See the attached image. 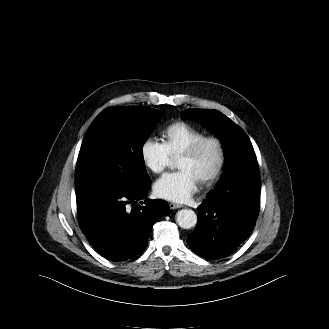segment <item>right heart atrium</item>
I'll list each match as a JSON object with an SVG mask.
<instances>
[{
  "label": "right heart atrium",
  "mask_w": 329,
  "mask_h": 329,
  "mask_svg": "<svg viewBox=\"0 0 329 329\" xmlns=\"http://www.w3.org/2000/svg\"><path fill=\"white\" fill-rule=\"evenodd\" d=\"M144 165L153 173H161L172 161L166 145L154 138L144 139L140 147Z\"/></svg>",
  "instance_id": "right-heart-atrium-1"
}]
</instances>
